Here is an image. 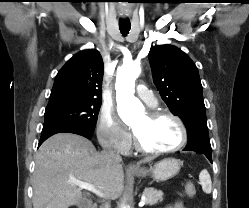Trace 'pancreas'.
<instances>
[{
    "instance_id": "cf45deb5",
    "label": "pancreas",
    "mask_w": 249,
    "mask_h": 208,
    "mask_svg": "<svg viewBox=\"0 0 249 208\" xmlns=\"http://www.w3.org/2000/svg\"><path fill=\"white\" fill-rule=\"evenodd\" d=\"M143 195L147 205H154L163 200V192L152 187L145 188Z\"/></svg>"
}]
</instances>
